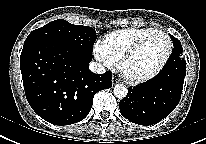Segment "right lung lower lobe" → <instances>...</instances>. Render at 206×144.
Masks as SVG:
<instances>
[{
  "label": "right lung lower lobe",
  "mask_w": 206,
  "mask_h": 144,
  "mask_svg": "<svg viewBox=\"0 0 206 144\" xmlns=\"http://www.w3.org/2000/svg\"><path fill=\"white\" fill-rule=\"evenodd\" d=\"M92 53L68 45L36 42L24 45L20 69L32 109L54 125H70L90 112L94 95L112 86V75L92 73Z\"/></svg>",
  "instance_id": "right-lung-lower-lobe-1"
}]
</instances>
